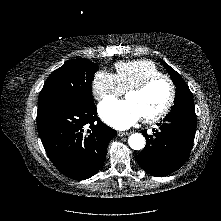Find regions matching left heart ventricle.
I'll use <instances>...</instances> for the list:
<instances>
[{"label": "left heart ventricle", "instance_id": "1", "mask_svg": "<svg viewBox=\"0 0 221 221\" xmlns=\"http://www.w3.org/2000/svg\"><path fill=\"white\" fill-rule=\"evenodd\" d=\"M169 94L170 88L168 83L160 80L142 93H127L126 99L134 103L141 117H147L158 113L164 107Z\"/></svg>", "mask_w": 221, "mask_h": 221}]
</instances>
